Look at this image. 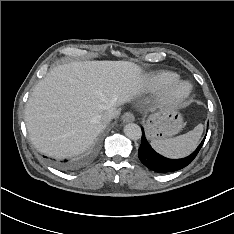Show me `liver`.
Listing matches in <instances>:
<instances>
[{"instance_id": "obj_1", "label": "liver", "mask_w": 234, "mask_h": 234, "mask_svg": "<svg viewBox=\"0 0 234 234\" xmlns=\"http://www.w3.org/2000/svg\"><path fill=\"white\" fill-rule=\"evenodd\" d=\"M141 68L129 61H75L51 69L34 87L25 122L35 148L64 158L85 151L104 130L101 114L142 90Z\"/></svg>"}]
</instances>
